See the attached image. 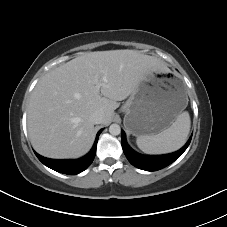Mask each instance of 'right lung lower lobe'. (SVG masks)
I'll return each instance as SVG.
<instances>
[{
	"label": "right lung lower lobe",
	"instance_id": "right-lung-lower-lobe-1",
	"mask_svg": "<svg viewBox=\"0 0 227 227\" xmlns=\"http://www.w3.org/2000/svg\"><path fill=\"white\" fill-rule=\"evenodd\" d=\"M102 130H100L96 136V140L94 142V145L89 153H87L84 157H81L76 160H57V159H49L42 157L41 155L37 154L35 151V155L37 158L47 167L60 172L64 174L69 175H75L82 171H84L86 168L90 166V164L93 162L95 154H96V146L98 137L100 135Z\"/></svg>",
	"mask_w": 227,
	"mask_h": 227
}]
</instances>
